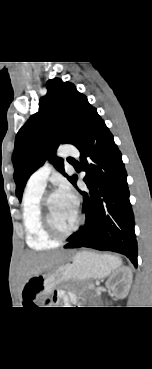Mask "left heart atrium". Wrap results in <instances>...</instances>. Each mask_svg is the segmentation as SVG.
I'll return each instance as SVG.
<instances>
[{"label": "left heart atrium", "instance_id": "39dd6f15", "mask_svg": "<svg viewBox=\"0 0 152 369\" xmlns=\"http://www.w3.org/2000/svg\"><path fill=\"white\" fill-rule=\"evenodd\" d=\"M56 194H58L68 204L73 207H77V199L66 182H61L59 184Z\"/></svg>", "mask_w": 152, "mask_h": 369}]
</instances>
